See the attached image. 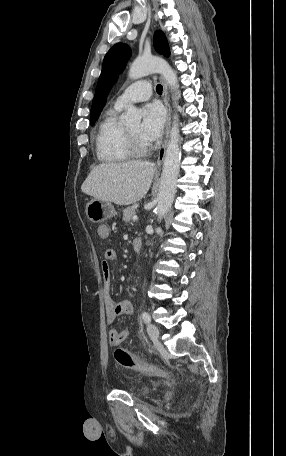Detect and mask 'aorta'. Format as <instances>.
Wrapping results in <instances>:
<instances>
[{
  "label": "aorta",
  "mask_w": 286,
  "mask_h": 456,
  "mask_svg": "<svg viewBox=\"0 0 286 456\" xmlns=\"http://www.w3.org/2000/svg\"><path fill=\"white\" fill-rule=\"evenodd\" d=\"M152 73H160L173 91L178 89L176 73L173 71L168 62L162 58L141 57L135 59L129 69L128 76L130 79L135 80ZM141 117V111L135 106L129 105L122 120L126 124H139ZM179 140L180 131L178 126V115L175 114L170 131V138L166 148L160 186L157 195L158 204L156 207V214L159 220H161L169 212L174 201L181 160Z\"/></svg>",
  "instance_id": "1"
}]
</instances>
